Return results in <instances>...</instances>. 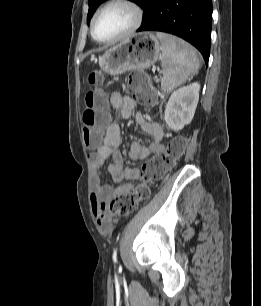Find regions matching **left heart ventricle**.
<instances>
[{"label": "left heart ventricle", "instance_id": "1", "mask_svg": "<svg viewBox=\"0 0 261 306\" xmlns=\"http://www.w3.org/2000/svg\"><path fill=\"white\" fill-rule=\"evenodd\" d=\"M134 15L123 5H114L103 11L97 19L95 35L105 40L124 33L132 24Z\"/></svg>", "mask_w": 261, "mask_h": 306}]
</instances>
